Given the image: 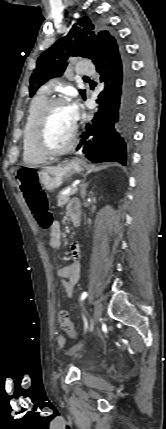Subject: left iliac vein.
I'll return each instance as SVG.
<instances>
[{
	"instance_id": "obj_1",
	"label": "left iliac vein",
	"mask_w": 166,
	"mask_h": 429,
	"mask_svg": "<svg viewBox=\"0 0 166 429\" xmlns=\"http://www.w3.org/2000/svg\"><path fill=\"white\" fill-rule=\"evenodd\" d=\"M102 311H103V306L100 300H97L95 302V308H94V317L92 319V329L94 328V326L98 323L101 315H102ZM83 346V343H79L77 345H75L72 349L71 352H74L78 349H80Z\"/></svg>"
}]
</instances>
